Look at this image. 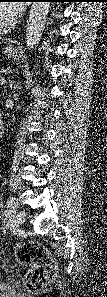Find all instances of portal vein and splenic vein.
<instances>
[{"instance_id":"18ae733b","label":"portal vein and splenic vein","mask_w":107,"mask_h":297,"mask_svg":"<svg viewBox=\"0 0 107 297\" xmlns=\"http://www.w3.org/2000/svg\"><path fill=\"white\" fill-rule=\"evenodd\" d=\"M6 82V79L5 78H0V85H4Z\"/></svg>"}]
</instances>
